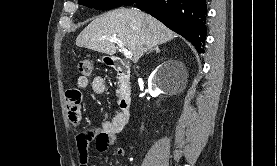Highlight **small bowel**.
Returning <instances> with one entry per match:
<instances>
[{
	"mask_svg": "<svg viewBox=\"0 0 277 166\" xmlns=\"http://www.w3.org/2000/svg\"><path fill=\"white\" fill-rule=\"evenodd\" d=\"M90 85L95 94H103L106 91L105 79L102 76H95L91 81L87 77H80L77 81L78 88L70 89L66 92L68 117L75 125L82 120V90ZM124 126L125 124L122 122L119 113H117L111 120L105 121L100 128H87L80 132L76 137L79 166H89L88 149L92 140H95L96 148L99 152H106L118 140L119 133ZM115 155L123 157L125 155L124 149L117 147Z\"/></svg>",
	"mask_w": 277,
	"mask_h": 166,
	"instance_id": "obj_1",
	"label": "small bowel"
}]
</instances>
